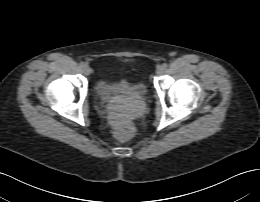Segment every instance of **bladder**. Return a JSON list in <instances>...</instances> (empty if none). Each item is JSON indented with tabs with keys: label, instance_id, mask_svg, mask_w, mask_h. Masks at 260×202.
I'll return each instance as SVG.
<instances>
[{
	"label": "bladder",
	"instance_id": "1",
	"mask_svg": "<svg viewBox=\"0 0 260 202\" xmlns=\"http://www.w3.org/2000/svg\"><path fill=\"white\" fill-rule=\"evenodd\" d=\"M96 91L105 95L107 93H124L131 96L143 98L147 94V86L142 80L118 79L109 81L99 79L96 82Z\"/></svg>",
	"mask_w": 260,
	"mask_h": 202
}]
</instances>
